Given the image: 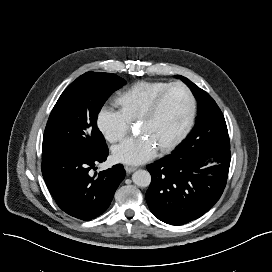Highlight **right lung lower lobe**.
Returning a JSON list of instances; mask_svg holds the SVG:
<instances>
[{"instance_id":"1","label":"right lung lower lobe","mask_w":272,"mask_h":272,"mask_svg":"<svg viewBox=\"0 0 272 272\" xmlns=\"http://www.w3.org/2000/svg\"><path fill=\"white\" fill-rule=\"evenodd\" d=\"M108 148L92 153L47 151L42 154V174L57 205L67 214L90 220L110 205L114 193L125 177L123 165L92 175L97 163L108 156Z\"/></svg>"}]
</instances>
